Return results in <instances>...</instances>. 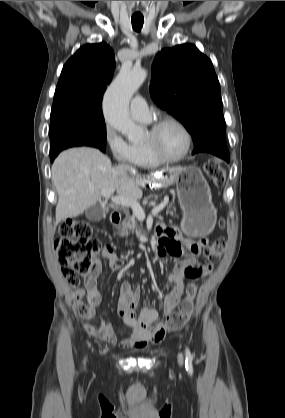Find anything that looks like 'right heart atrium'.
<instances>
[{
    "instance_id": "d8ad5b80",
    "label": "right heart atrium",
    "mask_w": 285,
    "mask_h": 418,
    "mask_svg": "<svg viewBox=\"0 0 285 418\" xmlns=\"http://www.w3.org/2000/svg\"><path fill=\"white\" fill-rule=\"evenodd\" d=\"M103 138L106 148L119 164L131 165L134 163L130 144L110 125H106Z\"/></svg>"
}]
</instances>
